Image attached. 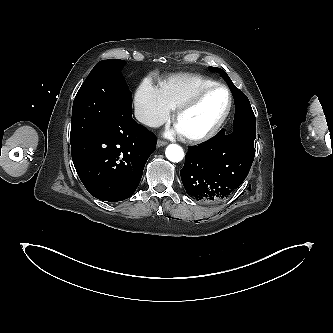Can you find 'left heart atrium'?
I'll list each match as a JSON object with an SVG mask.
<instances>
[{
	"label": "left heart atrium",
	"mask_w": 333,
	"mask_h": 333,
	"mask_svg": "<svg viewBox=\"0 0 333 333\" xmlns=\"http://www.w3.org/2000/svg\"><path fill=\"white\" fill-rule=\"evenodd\" d=\"M177 132L181 133L179 129L177 130Z\"/></svg>",
	"instance_id": "39dd6f15"
}]
</instances>
